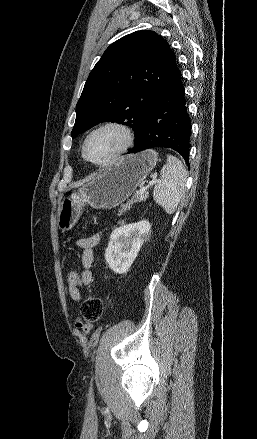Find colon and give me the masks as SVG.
Returning a JSON list of instances; mask_svg holds the SVG:
<instances>
[{"mask_svg": "<svg viewBox=\"0 0 257 439\" xmlns=\"http://www.w3.org/2000/svg\"><path fill=\"white\" fill-rule=\"evenodd\" d=\"M67 281L70 286H77L80 282V273L76 271L69 272ZM80 313L86 323L97 322L103 314L102 300L96 295L87 296L81 305Z\"/></svg>", "mask_w": 257, "mask_h": 439, "instance_id": "colon-1", "label": "colon"}]
</instances>
